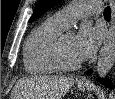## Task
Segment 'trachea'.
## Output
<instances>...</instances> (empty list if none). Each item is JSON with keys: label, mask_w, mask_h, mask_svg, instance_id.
<instances>
[{"label": "trachea", "mask_w": 115, "mask_h": 99, "mask_svg": "<svg viewBox=\"0 0 115 99\" xmlns=\"http://www.w3.org/2000/svg\"><path fill=\"white\" fill-rule=\"evenodd\" d=\"M110 16H111V12H110V7L108 6L104 9V17L110 18Z\"/></svg>", "instance_id": "1"}]
</instances>
